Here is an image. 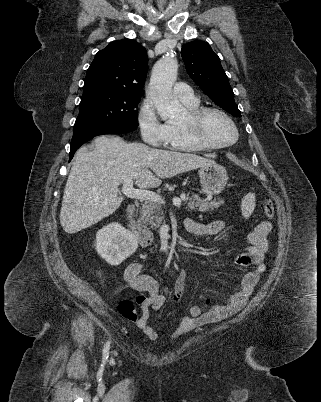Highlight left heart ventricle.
Segmentation results:
<instances>
[{
  "label": "left heart ventricle",
  "instance_id": "obj_1",
  "mask_svg": "<svg viewBox=\"0 0 321 402\" xmlns=\"http://www.w3.org/2000/svg\"><path fill=\"white\" fill-rule=\"evenodd\" d=\"M202 132L209 141L217 144L230 142L234 138L232 126L216 113H210L204 118Z\"/></svg>",
  "mask_w": 321,
  "mask_h": 402
}]
</instances>
